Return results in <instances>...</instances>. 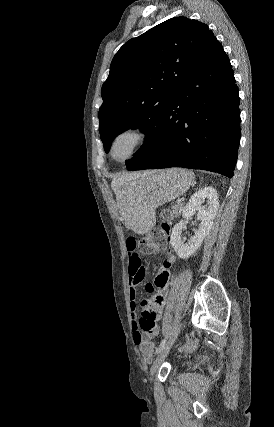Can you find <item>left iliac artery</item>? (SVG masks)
I'll return each instance as SVG.
<instances>
[{
    "label": "left iliac artery",
    "mask_w": 274,
    "mask_h": 427,
    "mask_svg": "<svg viewBox=\"0 0 274 427\" xmlns=\"http://www.w3.org/2000/svg\"><path fill=\"white\" fill-rule=\"evenodd\" d=\"M165 343H166V338L161 341V343L157 349V354H159L161 352V350L164 348Z\"/></svg>",
    "instance_id": "left-iliac-artery-1"
}]
</instances>
